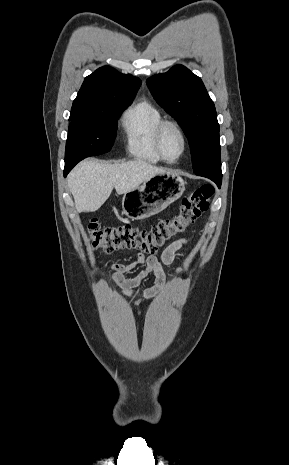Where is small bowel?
Instances as JSON below:
<instances>
[{
	"label": "small bowel",
	"mask_w": 289,
	"mask_h": 465,
	"mask_svg": "<svg viewBox=\"0 0 289 465\" xmlns=\"http://www.w3.org/2000/svg\"><path fill=\"white\" fill-rule=\"evenodd\" d=\"M191 242L192 237L190 236L173 241L164 249L160 258L155 255L145 256L143 253H139L135 260L129 264L111 263L110 267L113 272L112 280L121 292L128 296H132L140 283L150 274H153L155 276V285L146 289L141 294V298L138 301L141 299H151L163 290L168 281L165 267L171 265L177 251L186 247ZM138 266H143V269L134 277L127 278L125 276V273L132 271ZM177 272L183 274L184 269L178 267Z\"/></svg>",
	"instance_id": "c3829d8e"
}]
</instances>
